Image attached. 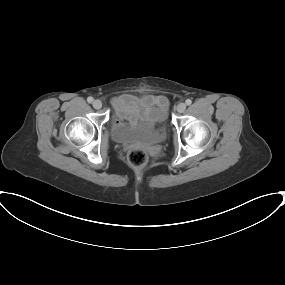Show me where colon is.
<instances>
[{
	"instance_id": "1",
	"label": "colon",
	"mask_w": 285,
	"mask_h": 285,
	"mask_svg": "<svg viewBox=\"0 0 285 285\" xmlns=\"http://www.w3.org/2000/svg\"><path fill=\"white\" fill-rule=\"evenodd\" d=\"M129 164L135 168H142L148 162V155L142 149H132L127 155Z\"/></svg>"
}]
</instances>
